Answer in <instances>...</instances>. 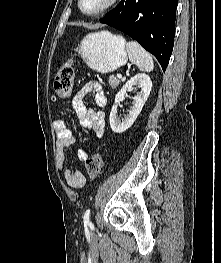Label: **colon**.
<instances>
[{
	"label": "colon",
	"mask_w": 221,
	"mask_h": 263,
	"mask_svg": "<svg viewBox=\"0 0 221 263\" xmlns=\"http://www.w3.org/2000/svg\"><path fill=\"white\" fill-rule=\"evenodd\" d=\"M74 80V69L70 62L63 64L55 77L53 100L62 102L68 99L72 93ZM103 167V157L96 153L85 160V168L90 179H95Z\"/></svg>",
	"instance_id": "obj_1"
}]
</instances>
